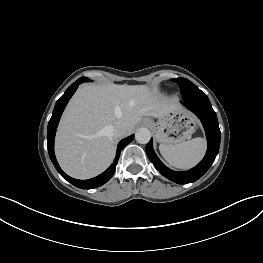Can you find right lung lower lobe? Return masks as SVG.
Masks as SVG:
<instances>
[{"mask_svg": "<svg viewBox=\"0 0 263 263\" xmlns=\"http://www.w3.org/2000/svg\"><path fill=\"white\" fill-rule=\"evenodd\" d=\"M81 83H82V80L78 79L71 86H69L68 89L65 91V93L62 95V97L59 98L55 104L52 117L48 123V130H47L48 152H49L50 159L52 163L54 164L55 168L68 182H70L71 184H73L74 186L78 188L92 189V188H96V187H99L105 184L114 175L121 150L133 140L134 135H131L119 142L118 147H117L116 157H115L113 164H111V166L105 172L98 175L97 177L88 179V180H77V179L71 178L70 176L66 175L59 167L57 160L55 158L54 138H55L56 128L58 126L61 114L65 106L67 105L69 99L72 97L74 92L77 90L78 85Z\"/></svg>", "mask_w": 263, "mask_h": 263, "instance_id": "98d812e1", "label": "right lung lower lobe"}]
</instances>
